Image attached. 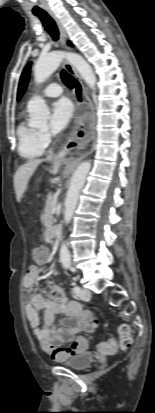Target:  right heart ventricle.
Returning <instances> with one entry per match:
<instances>
[{
    "label": "right heart ventricle",
    "instance_id": "e07e8e85",
    "mask_svg": "<svg viewBox=\"0 0 155 413\" xmlns=\"http://www.w3.org/2000/svg\"><path fill=\"white\" fill-rule=\"evenodd\" d=\"M17 137L22 158L33 160L43 155L45 147L40 142L39 131L24 120L17 127Z\"/></svg>",
    "mask_w": 155,
    "mask_h": 413
}]
</instances>
